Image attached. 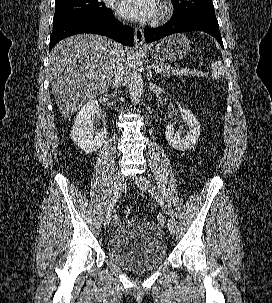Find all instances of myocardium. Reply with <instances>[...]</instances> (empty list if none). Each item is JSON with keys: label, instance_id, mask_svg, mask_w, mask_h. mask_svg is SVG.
<instances>
[{"label": "myocardium", "instance_id": "1", "mask_svg": "<svg viewBox=\"0 0 272 303\" xmlns=\"http://www.w3.org/2000/svg\"><path fill=\"white\" fill-rule=\"evenodd\" d=\"M173 13V4L170 0H161L160 12L158 13L155 22L160 23L167 20Z\"/></svg>", "mask_w": 272, "mask_h": 303}]
</instances>
